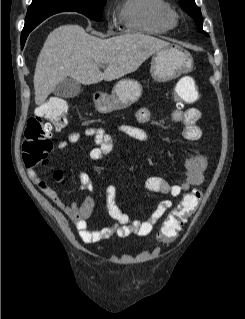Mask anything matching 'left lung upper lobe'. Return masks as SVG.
I'll use <instances>...</instances> for the list:
<instances>
[{"mask_svg": "<svg viewBox=\"0 0 245 319\" xmlns=\"http://www.w3.org/2000/svg\"><path fill=\"white\" fill-rule=\"evenodd\" d=\"M180 3L187 11V13L195 20L196 26L200 32L208 36L206 32L202 29V14L200 8L195 4L194 0H180Z\"/></svg>", "mask_w": 245, "mask_h": 319, "instance_id": "left-lung-upper-lobe-1", "label": "left lung upper lobe"}]
</instances>
